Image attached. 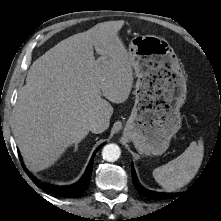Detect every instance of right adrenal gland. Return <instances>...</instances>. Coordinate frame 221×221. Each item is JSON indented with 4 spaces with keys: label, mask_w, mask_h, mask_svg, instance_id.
Here are the masks:
<instances>
[{
    "label": "right adrenal gland",
    "mask_w": 221,
    "mask_h": 221,
    "mask_svg": "<svg viewBox=\"0 0 221 221\" xmlns=\"http://www.w3.org/2000/svg\"><path fill=\"white\" fill-rule=\"evenodd\" d=\"M78 149V143L75 144V151Z\"/></svg>",
    "instance_id": "2a0ac1e0"
}]
</instances>
